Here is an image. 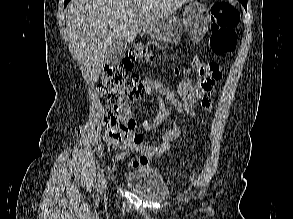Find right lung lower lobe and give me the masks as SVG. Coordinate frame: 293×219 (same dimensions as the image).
I'll list each match as a JSON object with an SVG mask.
<instances>
[{
    "label": "right lung lower lobe",
    "instance_id": "98d812e1",
    "mask_svg": "<svg viewBox=\"0 0 293 219\" xmlns=\"http://www.w3.org/2000/svg\"><path fill=\"white\" fill-rule=\"evenodd\" d=\"M70 0H65L64 5H66Z\"/></svg>",
    "mask_w": 293,
    "mask_h": 219
}]
</instances>
